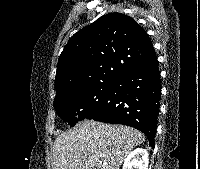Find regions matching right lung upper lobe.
I'll return each instance as SVG.
<instances>
[{
    "instance_id": "right-lung-upper-lobe-1",
    "label": "right lung upper lobe",
    "mask_w": 200,
    "mask_h": 169,
    "mask_svg": "<svg viewBox=\"0 0 200 169\" xmlns=\"http://www.w3.org/2000/svg\"><path fill=\"white\" fill-rule=\"evenodd\" d=\"M156 60L145 30L125 14L109 13L75 33L64 47L58 60L55 100Z\"/></svg>"
}]
</instances>
